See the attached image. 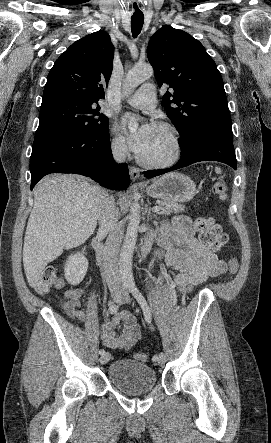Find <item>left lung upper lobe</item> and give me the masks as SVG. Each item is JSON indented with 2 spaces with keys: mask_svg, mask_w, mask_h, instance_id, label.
Listing matches in <instances>:
<instances>
[{
  "mask_svg": "<svg viewBox=\"0 0 271 443\" xmlns=\"http://www.w3.org/2000/svg\"><path fill=\"white\" fill-rule=\"evenodd\" d=\"M147 55L158 86L174 89L161 104L181 136L179 142L205 123L231 125L221 74L198 40L165 25L151 37Z\"/></svg>",
  "mask_w": 271,
  "mask_h": 443,
  "instance_id": "5c2ea615",
  "label": "left lung upper lobe"
}]
</instances>
